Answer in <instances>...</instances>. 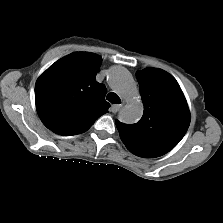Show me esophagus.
<instances>
[{"mask_svg":"<svg viewBox=\"0 0 223 223\" xmlns=\"http://www.w3.org/2000/svg\"><path fill=\"white\" fill-rule=\"evenodd\" d=\"M121 109L120 104H113L111 105L110 111L113 113H117Z\"/></svg>","mask_w":223,"mask_h":223,"instance_id":"esophagus-1","label":"esophagus"}]
</instances>
